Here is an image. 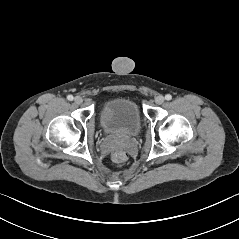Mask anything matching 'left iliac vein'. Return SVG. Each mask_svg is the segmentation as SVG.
<instances>
[{
  "instance_id": "obj_1",
  "label": "left iliac vein",
  "mask_w": 239,
  "mask_h": 239,
  "mask_svg": "<svg viewBox=\"0 0 239 239\" xmlns=\"http://www.w3.org/2000/svg\"><path fill=\"white\" fill-rule=\"evenodd\" d=\"M165 98L162 95H158L155 98V103L161 105L164 102Z\"/></svg>"
}]
</instances>
